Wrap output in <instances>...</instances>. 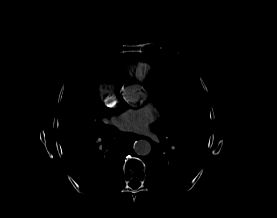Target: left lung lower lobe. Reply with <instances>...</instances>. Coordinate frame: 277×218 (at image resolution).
<instances>
[{"label":"left lung lower lobe","instance_id":"0a47b994","mask_svg":"<svg viewBox=\"0 0 277 218\" xmlns=\"http://www.w3.org/2000/svg\"><path fill=\"white\" fill-rule=\"evenodd\" d=\"M160 135L162 139L167 137L168 142L153 148L152 177L168 189H179L189 183L199 171L207 149L208 136L182 132ZM170 144L175 148L170 149ZM169 171L174 172L173 177L169 175Z\"/></svg>","mask_w":277,"mask_h":218}]
</instances>
